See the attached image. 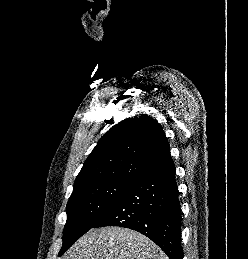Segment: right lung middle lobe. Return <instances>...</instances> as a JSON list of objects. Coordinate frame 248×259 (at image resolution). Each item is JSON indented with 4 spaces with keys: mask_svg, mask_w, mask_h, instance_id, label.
I'll return each mask as SVG.
<instances>
[{
    "mask_svg": "<svg viewBox=\"0 0 248 259\" xmlns=\"http://www.w3.org/2000/svg\"><path fill=\"white\" fill-rule=\"evenodd\" d=\"M131 184L126 181L112 180L73 189L66 207L67 222L59 256L93 228Z\"/></svg>",
    "mask_w": 248,
    "mask_h": 259,
    "instance_id": "right-lung-middle-lobe-1",
    "label": "right lung middle lobe"
}]
</instances>
